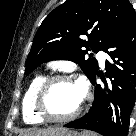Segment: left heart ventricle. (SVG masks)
Wrapping results in <instances>:
<instances>
[{
  "label": "left heart ventricle",
  "mask_w": 136,
  "mask_h": 136,
  "mask_svg": "<svg viewBox=\"0 0 136 136\" xmlns=\"http://www.w3.org/2000/svg\"><path fill=\"white\" fill-rule=\"evenodd\" d=\"M81 97L78 86L72 82H55L46 97V108L54 116L64 117L79 106Z\"/></svg>",
  "instance_id": "obj_1"
}]
</instances>
